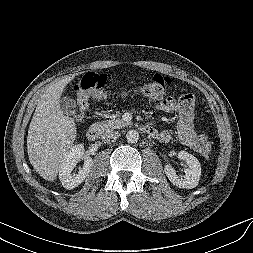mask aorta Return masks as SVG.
<instances>
[{"label":"aorta","mask_w":253,"mask_h":253,"mask_svg":"<svg viewBox=\"0 0 253 253\" xmlns=\"http://www.w3.org/2000/svg\"><path fill=\"white\" fill-rule=\"evenodd\" d=\"M126 139L129 143H137L139 140V133L136 130H129L126 134Z\"/></svg>","instance_id":"762f6f07"}]
</instances>
